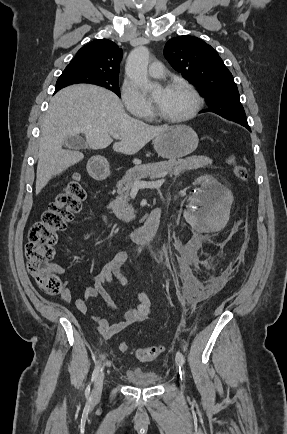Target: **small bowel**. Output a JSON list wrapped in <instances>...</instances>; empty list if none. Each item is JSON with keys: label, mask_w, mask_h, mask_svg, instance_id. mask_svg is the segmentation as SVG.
<instances>
[{"label": "small bowel", "mask_w": 287, "mask_h": 434, "mask_svg": "<svg viewBox=\"0 0 287 434\" xmlns=\"http://www.w3.org/2000/svg\"><path fill=\"white\" fill-rule=\"evenodd\" d=\"M103 221L106 222L103 217ZM91 233H88L85 238L89 239ZM133 260V255L129 252H118L115 254L96 275L94 285L87 288L80 296L75 297L72 287L69 285L61 295L62 302L69 304L74 302L77 311L81 314L89 312L87 301L91 298H100L104 304L110 309H117L118 304L109 290V285L116 281L122 287L127 288L129 283L127 277L122 272V265ZM57 270L62 272L63 269L58 267ZM135 298V304L129 308L122 320L109 323L105 318L92 315V319L96 323L98 333L103 339L108 340L118 333L122 332L128 326L147 319L150 315L152 300L144 293L132 292Z\"/></svg>", "instance_id": "c3829d8e"}]
</instances>
